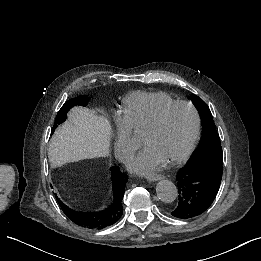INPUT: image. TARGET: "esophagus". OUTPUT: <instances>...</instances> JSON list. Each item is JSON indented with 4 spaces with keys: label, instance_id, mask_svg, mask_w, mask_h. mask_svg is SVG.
Listing matches in <instances>:
<instances>
[{
    "label": "esophagus",
    "instance_id": "esophagus-1",
    "mask_svg": "<svg viewBox=\"0 0 261 261\" xmlns=\"http://www.w3.org/2000/svg\"><path fill=\"white\" fill-rule=\"evenodd\" d=\"M162 178H163V175H161V174H154V175L146 176V179L148 181H152V182L158 181V180H160Z\"/></svg>",
    "mask_w": 261,
    "mask_h": 261
}]
</instances>
